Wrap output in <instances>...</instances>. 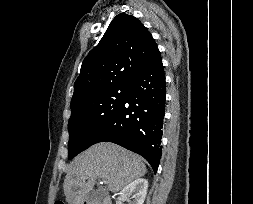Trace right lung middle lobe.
I'll list each match as a JSON object with an SVG mask.
<instances>
[{
	"instance_id": "obj_1",
	"label": "right lung middle lobe",
	"mask_w": 253,
	"mask_h": 204,
	"mask_svg": "<svg viewBox=\"0 0 253 204\" xmlns=\"http://www.w3.org/2000/svg\"><path fill=\"white\" fill-rule=\"evenodd\" d=\"M127 86L115 87L71 107L68 158L90 147L123 103Z\"/></svg>"
}]
</instances>
